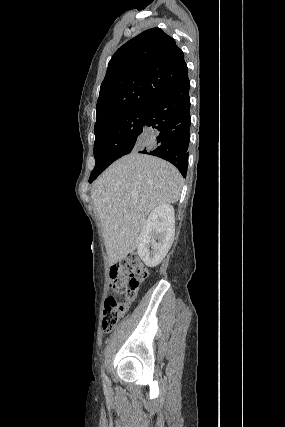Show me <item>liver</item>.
<instances>
[{"label":"liver","instance_id":"1","mask_svg":"<svg viewBox=\"0 0 285 427\" xmlns=\"http://www.w3.org/2000/svg\"><path fill=\"white\" fill-rule=\"evenodd\" d=\"M183 178L169 162L132 152L109 166L95 181L91 197L101 221L109 265L122 261L138 244L148 214L175 203Z\"/></svg>","mask_w":285,"mask_h":427}]
</instances>
